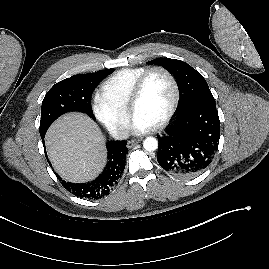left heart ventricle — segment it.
Masks as SVG:
<instances>
[{"mask_svg": "<svg viewBox=\"0 0 269 269\" xmlns=\"http://www.w3.org/2000/svg\"><path fill=\"white\" fill-rule=\"evenodd\" d=\"M173 99V87L162 72H154L148 78L143 94L137 103L134 116L151 126L166 115Z\"/></svg>", "mask_w": 269, "mask_h": 269, "instance_id": "left-heart-ventricle-1", "label": "left heart ventricle"}]
</instances>
